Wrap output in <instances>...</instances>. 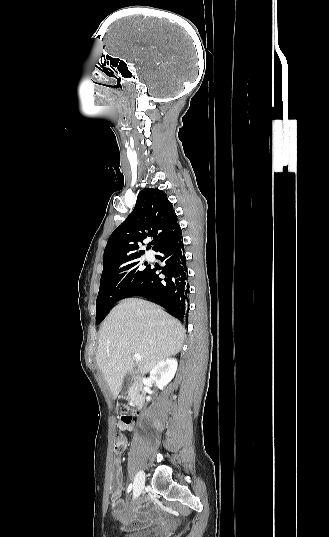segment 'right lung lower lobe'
I'll list each match as a JSON object with an SVG mask.
<instances>
[{"label": "right lung lower lobe", "mask_w": 329, "mask_h": 537, "mask_svg": "<svg viewBox=\"0 0 329 537\" xmlns=\"http://www.w3.org/2000/svg\"><path fill=\"white\" fill-rule=\"evenodd\" d=\"M181 229L164 241L155 251L156 256L165 266L148 270L128 293L130 296H142L167 308V311L181 321L187 319L189 283ZM157 269L161 272L157 274ZM162 274V276H160Z\"/></svg>", "instance_id": "obj_1"}]
</instances>
